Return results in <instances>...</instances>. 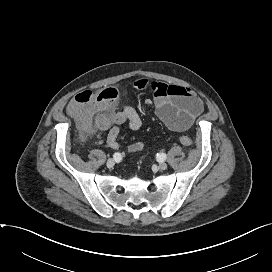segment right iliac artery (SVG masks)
<instances>
[{
  "mask_svg": "<svg viewBox=\"0 0 272 272\" xmlns=\"http://www.w3.org/2000/svg\"><path fill=\"white\" fill-rule=\"evenodd\" d=\"M113 158L116 162H119L122 159L120 153H114Z\"/></svg>",
  "mask_w": 272,
  "mask_h": 272,
  "instance_id": "right-iliac-artery-1",
  "label": "right iliac artery"
}]
</instances>
